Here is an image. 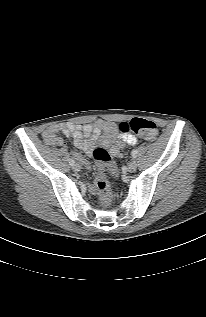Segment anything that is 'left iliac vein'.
I'll use <instances>...</instances> for the list:
<instances>
[{
  "mask_svg": "<svg viewBox=\"0 0 206 317\" xmlns=\"http://www.w3.org/2000/svg\"><path fill=\"white\" fill-rule=\"evenodd\" d=\"M137 169V162L136 160H131L130 163L127 166L128 172L132 173Z\"/></svg>",
  "mask_w": 206,
  "mask_h": 317,
  "instance_id": "obj_1",
  "label": "left iliac vein"
}]
</instances>
